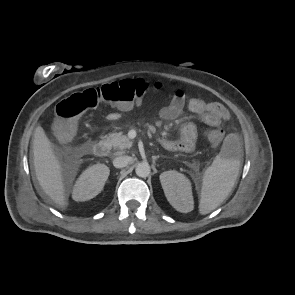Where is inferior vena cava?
<instances>
[{
    "label": "inferior vena cava",
    "mask_w": 295,
    "mask_h": 295,
    "mask_svg": "<svg viewBox=\"0 0 295 295\" xmlns=\"http://www.w3.org/2000/svg\"><path fill=\"white\" fill-rule=\"evenodd\" d=\"M131 159L129 156H118L113 160V165L116 168H124L129 164Z\"/></svg>",
    "instance_id": "602c4592"
}]
</instances>
